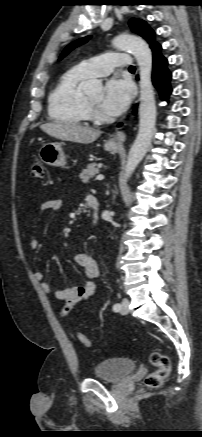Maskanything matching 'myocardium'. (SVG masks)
<instances>
[{"label": "myocardium", "mask_w": 202, "mask_h": 437, "mask_svg": "<svg viewBox=\"0 0 202 437\" xmlns=\"http://www.w3.org/2000/svg\"><path fill=\"white\" fill-rule=\"evenodd\" d=\"M85 100H86L89 111L91 113H94V114H99L98 105L96 103L92 102L87 96H85Z\"/></svg>", "instance_id": "f54148a6"}]
</instances>
